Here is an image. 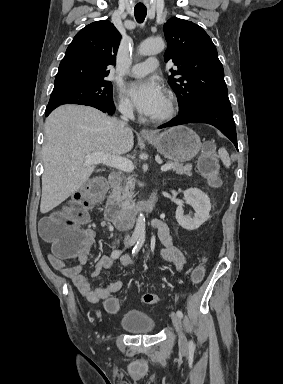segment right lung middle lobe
<instances>
[{
    "mask_svg": "<svg viewBox=\"0 0 283 384\" xmlns=\"http://www.w3.org/2000/svg\"><path fill=\"white\" fill-rule=\"evenodd\" d=\"M112 83L105 80H91L54 87L47 107L61 104L111 103Z\"/></svg>",
    "mask_w": 283,
    "mask_h": 384,
    "instance_id": "obj_1",
    "label": "right lung middle lobe"
}]
</instances>
